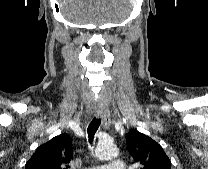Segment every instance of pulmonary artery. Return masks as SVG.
Listing matches in <instances>:
<instances>
[{
    "label": "pulmonary artery",
    "instance_id": "pulmonary-artery-1",
    "mask_svg": "<svg viewBox=\"0 0 208 169\" xmlns=\"http://www.w3.org/2000/svg\"><path fill=\"white\" fill-rule=\"evenodd\" d=\"M126 164L123 159L120 158H113L107 161L105 164L89 167L86 169H126Z\"/></svg>",
    "mask_w": 208,
    "mask_h": 169
}]
</instances>
